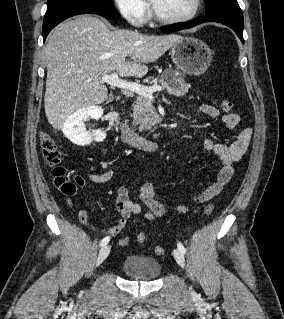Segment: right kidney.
<instances>
[{
    "instance_id": "ca27d5eb",
    "label": "right kidney",
    "mask_w": 284,
    "mask_h": 319,
    "mask_svg": "<svg viewBox=\"0 0 284 319\" xmlns=\"http://www.w3.org/2000/svg\"><path fill=\"white\" fill-rule=\"evenodd\" d=\"M101 115L102 110L96 106L79 109L65 122L62 131L71 142L79 146L89 145L92 141L101 142L106 138V132L101 129L87 131L84 124L88 118Z\"/></svg>"
}]
</instances>
